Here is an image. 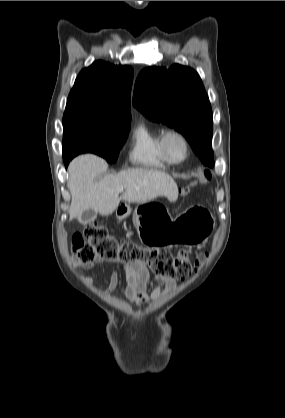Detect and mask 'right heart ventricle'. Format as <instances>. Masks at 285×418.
<instances>
[{
    "mask_svg": "<svg viewBox=\"0 0 285 418\" xmlns=\"http://www.w3.org/2000/svg\"><path fill=\"white\" fill-rule=\"evenodd\" d=\"M161 132L147 124L140 123L131 134L129 160L131 163L151 169H161L169 165L161 146Z\"/></svg>",
    "mask_w": 285,
    "mask_h": 418,
    "instance_id": "obj_1",
    "label": "right heart ventricle"
}]
</instances>
